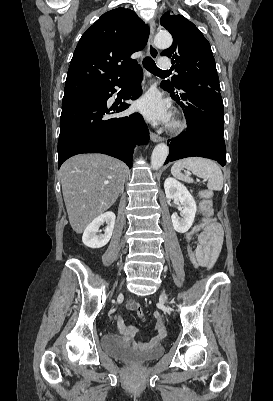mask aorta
Here are the masks:
<instances>
[{
	"mask_svg": "<svg viewBox=\"0 0 273 401\" xmlns=\"http://www.w3.org/2000/svg\"><path fill=\"white\" fill-rule=\"evenodd\" d=\"M173 42L172 36L166 31H160L154 37V45L160 49H166ZM169 154V148L166 144L160 143L156 145L151 155V167L154 170L159 169L165 162Z\"/></svg>",
	"mask_w": 273,
	"mask_h": 401,
	"instance_id": "762f6f07",
	"label": "aorta"
}]
</instances>
